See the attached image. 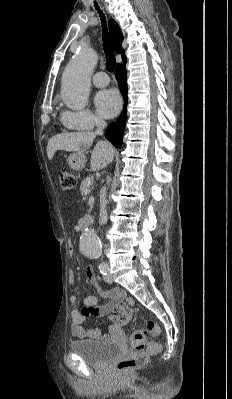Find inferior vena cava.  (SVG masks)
I'll use <instances>...</instances> for the list:
<instances>
[{
  "instance_id": "inferior-vena-cava-1",
  "label": "inferior vena cava",
  "mask_w": 232,
  "mask_h": 399,
  "mask_svg": "<svg viewBox=\"0 0 232 399\" xmlns=\"http://www.w3.org/2000/svg\"><path fill=\"white\" fill-rule=\"evenodd\" d=\"M95 126H97L96 134L103 136V130L106 128V122L104 120H95ZM107 217L106 200L105 196L100 201V223H104Z\"/></svg>"
}]
</instances>
